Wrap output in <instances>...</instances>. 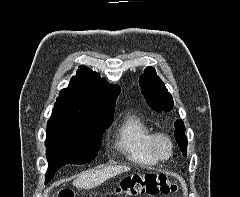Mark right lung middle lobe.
<instances>
[{
	"instance_id": "right-lung-middle-lobe-1",
	"label": "right lung middle lobe",
	"mask_w": 240,
	"mask_h": 197,
	"mask_svg": "<svg viewBox=\"0 0 240 197\" xmlns=\"http://www.w3.org/2000/svg\"><path fill=\"white\" fill-rule=\"evenodd\" d=\"M111 122L77 124L48 121L45 140L48 171L47 184L64 165H82L92 161L101 145L102 133Z\"/></svg>"
}]
</instances>
